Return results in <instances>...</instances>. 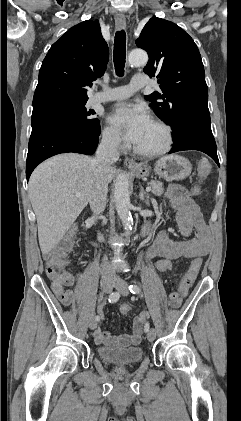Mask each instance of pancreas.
Here are the masks:
<instances>
[{
  "instance_id": "cf45deb5",
  "label": "pancreas",
  "mask_w": 241,
  "mask_h": 421,
  "mask_svg": "<svg viewBox=\"0 0 241 421\" xmlns=\"http://www.w3.org/2000/svg\"><path fill=\"white\" fill-rule=\"evenodd\" d=\"M148 186L151 187V192L156 196H161L164 192L163 184L160 181L152 180L148 183Z\"/></svg>"
}]
</instances>
